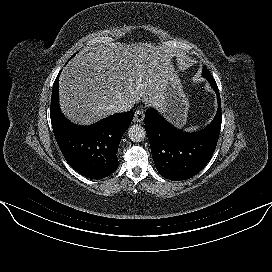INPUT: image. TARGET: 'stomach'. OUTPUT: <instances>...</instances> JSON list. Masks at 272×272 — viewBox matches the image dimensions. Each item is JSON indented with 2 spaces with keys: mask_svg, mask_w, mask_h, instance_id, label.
<instances>
[{
  "mask_svg": "<svg viewBox=\"0 0 272 272\" xmlns=\"http://www.w3.org/2000/svg\"><path fill=\"white\" fill-rule=\"evenodd\" d=\"M189 101L186 97L181 81L171 65L167 69L163 92V103L160 107L164 116L175 126L182 127L186 124Z\"/></svg>",
  "mask_w": 272,
  "mask_h": 272,
  "instance_id": "1",
  "label": "stomach"
}]
</instances>
